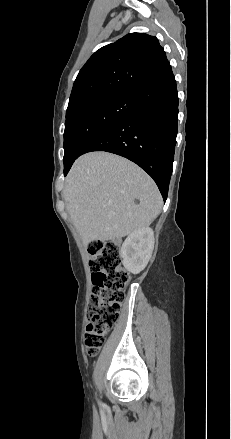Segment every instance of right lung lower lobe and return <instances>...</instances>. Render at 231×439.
Returning <instances> with one entry per match:
<instances>
[{
    "label": "right lung lower lobe",
    "instance_id": "obj_1",
    "mask_svg": "<svg viewBox=\"0 0 231 439\" xmlns=\"http://www.w3.org/2000/svg\"><path fill=\"white\" fill-rule=\"evenodd\" d=\"M137 110L104 127L81 148L79 156L107 151L144 169L167 198L177 135L178 94L172 71L134 93ZM73 163L64 168L66 175Z\"/></svg>",
    "mask_w": 231,
    "mask_h": 439
}]
</instances>
